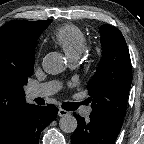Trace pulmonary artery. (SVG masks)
Wrapping results in <instances>:
<instances>
[{
  "label": "pulmonary artery",
  "mask_w": 144,
  "mask_h": 144,
  "mask_svg": "<svg viewBox=\"0 0 144 144\" xmlns=\"http://www.w3.org/2000/svg\"><path fill=\"white\" fill-rule=\"evenodd\" d=\"M59 89H60V83L57 81H51V82L43 83L38 86L32 87L27 94L30 99L39 98V97L44 98L56 93ZM91 112H92V107L87 106L81 111V114L85 118H88Z\"/></svg>",
  "instance_id": "pulmonary-artery-1"
}]
</instances>
